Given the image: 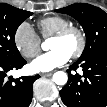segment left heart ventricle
Returning a JSON list of instances; mask_svg holds the SVG:
<instances>
[{"label":"left heart ventricle","instance_id":"left-heart-ventricle-1","mask_svg":"<svg viewBox=\"0 0 107 107\" xmlns=\"http://www.w3.org/2000/svg\"><path fill=\"white\" fill-rule=\"evenodd\" d=\"M79 42V36L76 33H71L64 39H51L49 48L51 50L62 49L71 55L79 46Z\"/></svg>","mask_w":107,"mask_h":107}]
</instances>
